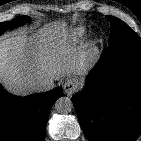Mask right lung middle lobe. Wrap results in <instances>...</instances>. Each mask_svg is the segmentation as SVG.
<instances>
[{
  "label": "right lung middle lobe",
  "mask_w": 141,
  "mask_h": 141,
  "mask_svg": "<svg viewBox=\"0 0 141 141\" xmlns=\"http://www.w3.org/2000/svg\"><path fill=\"white\" fill-rule=\"evenodd\" d=\"M29 20V17L27 16H23V17H17L15 19H13L11 22L10 21H6L4 23H0V35L7 30L8 28H10L11 26H20L24 23H26Z\"/></svg>",
  "instance_id": "right-lung-middle-lobe-1"
}]
</instances>
